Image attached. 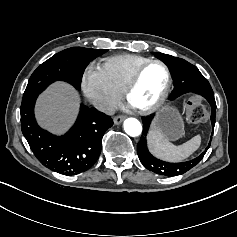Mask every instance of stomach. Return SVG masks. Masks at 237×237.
Here are the masks:
<instances>
[{
	"instance_id": "stomach-1",
	"label": "stomach",
	"mask_w": 237,
	"mask_h": 237,
	"mask_svg": "<svg viewBox=\"0 0 237 237\" xmlns=\"http://www.w3.org/2000/svg\"><path fill=\"white\" fill-rule=\"evenodd\" d=\"M154 128L161 130L168 139L176 140L183 136V123L177 111L165 108L156 118Z\"/></svg>"
}]
</instances>
